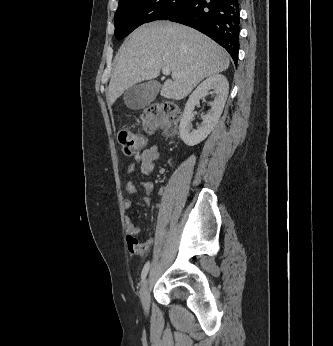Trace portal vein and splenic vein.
<instances>
[{
    "instance_id": "portal-vein-and-splenic-vein-1",
    "label": "portal vein and splenic vein",
    "mask_w": 333,
    "mask_h": 346,
    "mask_svg": "<svg viewBox=\"0 0 333 346\" xmlns=\"http://www.w3.org/2000/svg\"><path fill=\"white\" fill-rule=\"evenodd\" d=\"M162 73H163V75H170L171 70H170V68H168V67H164V68H162ZM174 76H175V77H179L178 74H175Z\"/></svg>"
}]
</instances>
